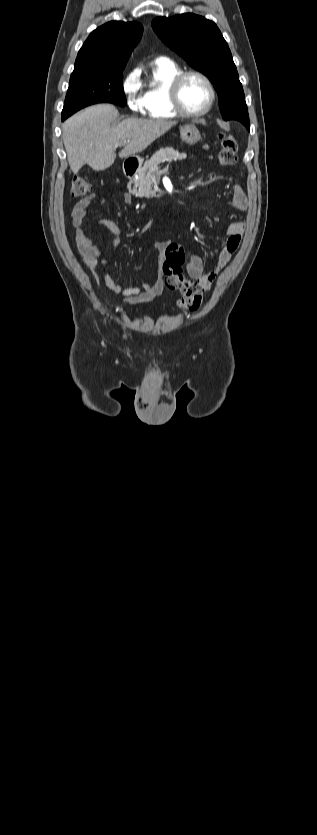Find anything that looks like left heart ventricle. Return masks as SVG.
Wrapping results in <instances>:
<instances>
[{
  "label": "left heart ventricle",
  "instance_id": "1",
  "mask_svg": "<svg viewBox=\"0 0 317 835\" xmlns=\"http://www.w3.org/2000/svg\"><path fill=\"white\" fill-rule=\"evenodd\" d=\"M210 98L206 83L197 76H189L181 89V101L189 112L203 110Z\"/></svg>",
  "mask_w": 317,
  "mask_h": 835
}]
</instances>
